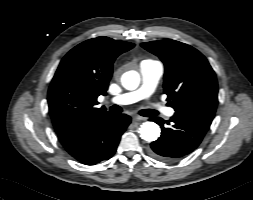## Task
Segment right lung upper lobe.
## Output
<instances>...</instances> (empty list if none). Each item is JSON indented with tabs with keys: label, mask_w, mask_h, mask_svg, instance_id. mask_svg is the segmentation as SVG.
<instances>
[{
	"label": "right lung upper lobe",
	"mask_w": 253,
	"mask_h": 200,
	"mask_svg": "<svg viewBox=\"0 0 253 200\" xmlns=\"http://www.w3.org/2000/svg\"><path fill=\"white\" fill-rule=\"evenodd\" d=\"M133 47V43L97 37L66 54L48 91L49 112L58 135L109 114L96 107L97 97L106 95L115 58Z\"/></svg>",
	"instance_id": "obj_1"
}]
</instances>
